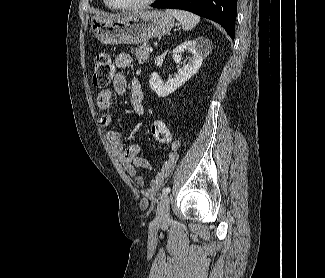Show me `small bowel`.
Returning a JSON list of instances; mask_svg holds the SVG:
<instances>
[{
  "label": "small bowel",
  "mask_w": 325,
  "mask_h": 278,
  "mask_svg": "<svg viewBox=\"0 0 325 278\" xmlns=\"http://www.w3.org/2000/svg\"><path fill=\"white\" fill-rule=\"evenodd\" d=\"M133 59L127 53H120L115 58V66L118 72L115 75L113 86L111 89H105L99 92L97 96V106L104 113L100 122L104 127H108L112 123V115L108 111L111 106L113 95L122 96L130 89V103L134 113L138 116L144 114L143 106V90L138 79L134 78L130 84L123 73V70L132 65ZM106 138L112 150L116 152L126 170V172L134 177V183L137 188L142 189L146 184V178L139 173V169H151L150 162L140 156L141 146L139 144H131L127 148L123 147L122 134L116 130H110L106 133ZM170 150L166 158L161 162L156 174L147 182L145 193L147 197L154 196L162 187L163 183L171 175L177 162L181 143L177 140L169 142Z\"/></svg>",
  "instance_id": "small-bowel-1"
}]
</instances>
